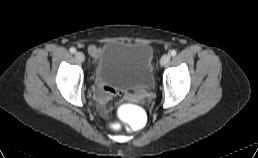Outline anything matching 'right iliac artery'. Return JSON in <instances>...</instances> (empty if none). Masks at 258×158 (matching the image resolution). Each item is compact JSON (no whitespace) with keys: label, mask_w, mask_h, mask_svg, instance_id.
<instances>
[{"label":"right iliac artery","mask_w":258,"mask_h":158,"mask_svg":"<svg viewBox=\"0 0 258 158\" xmlns=\"http://www.w3.org/2000/svg\"><path fill=\"white\" fill-rule=\"evenodd\" d=\"M70 52H71V53H75V52H76V49H75L74 47H71V48H70Z\"/></svg>","instance_id":"right-iliac-artery-1"}]
</instances>
